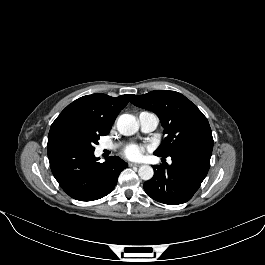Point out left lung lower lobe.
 Wrapping results in <instances>:
<instances>
[{"instance_id": "left-lung-lower-lobe-1", "label": "left lung lower lobe", "mask_w": 265, "mask_h": 265, "mask_svg": "<svg viewBox=\"0 0 265 265\" xmlns=\"http://www.w3.org/2000/svg\"><path fill=\"white\" fill-rule=\"evenodd\" d=\"M213 149L212 135H205L185 142L169 155L157 156L172 159L154 166V176L144 184L145 192L154 200L178 205L187 202L199 189L206 177Z\"/></svg>"}]
</instances>
